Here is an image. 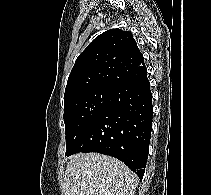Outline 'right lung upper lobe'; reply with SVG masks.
I'll list each match as a JSON object with an SVG mask.
<instances>
[{"mask_svg": "<svg viewBox=\"0 0 211 195\" xmlns=\"http://www.w3.org/2000/svg\"><path fill=\"white\" fill-rule=\"evenodd\" d=\"M147 74L131 32L110 29L96 37L75 61L64 99L94 88L114 87Z\"/></svg>", "mask_w": 211, "mask_h": 195, "instance_id": "obj_1", "label": "right lung upper lobe"}]
</instances>
